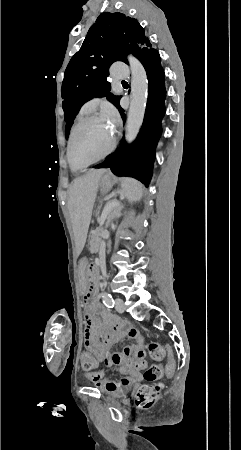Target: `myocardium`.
<instances>
[{"label":"myocardium","mask_w":241,"mask_h":450,"mask_svg":"<svg viewBox=\"0 0 241 450\" xmlns=\"http://www.w3.org/2000/svg\"><path fill=\"white\" fill-rule=\"evenodd\" d=\"M76 127H78V122H73V128L71 130L69 141L67 144V149L69 150V152H68V157H66V162H71V160H72L71 157L74 156V153L72 152V147H73L72 143H74L76 141V138H75L77 135V131L75 130ZM117 137H118V132H113V137H111V140L108 141V144L111 145V148L109 149L110 153H113L114 149L116 150L119 147L118 144H116V143L113 144V142H117ZM109 152L104 153L103 154L104 157H106V158L109 157V155H110ZM95 162H102V159L95 160Z\"/></svg>","instance_id":"myocardium-1"}]
</instances>
